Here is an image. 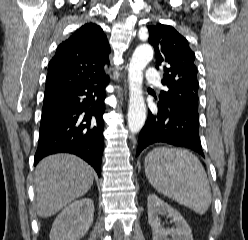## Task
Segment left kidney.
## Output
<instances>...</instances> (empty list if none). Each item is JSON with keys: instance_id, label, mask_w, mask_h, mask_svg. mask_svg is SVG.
<instances>
[{"instance_id": "5707ae66", "label": "left kidney", "mask_w": 248, "mask_h": 240, "mask_svg": "<svg viewBox=\"0 0 248 240\" xmlns=\"http://www.w3.org/2000/svg\"><path fill=\"white\" fill-rule=\"evenodd\" d=\"M148 222L153 230V240H193L191 229L182 215L156 195L148 196ZM159 215L171 218L175 227L164 229L159 220ZM172 238L169 239L168 236Z\"/></svg>"}]
</instances>
